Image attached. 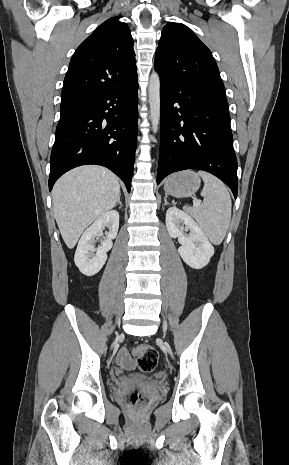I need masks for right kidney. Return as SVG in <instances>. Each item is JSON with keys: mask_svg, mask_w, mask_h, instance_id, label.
Here are the masks:
<instances>
[{"mask_svg": "<svg viewBox=\"0 0 289 465\" xmlns=\"http://www.w3.org/2000/svg\"><path fill=\"white\" fill-rule=\"evenodd\" d=\"M108 228L103 244L95 248V238ZM119 229V213L111 210L103 213L81 236L74 256L80 272L86 276L97 274L107 260V252L112 248V240Z\"/></svg>", "mask_w": 289, "mask_h": 465, "instance_id": "right-kidney-1", "label": "right kidney"}]
</instances>
